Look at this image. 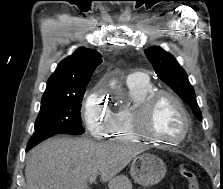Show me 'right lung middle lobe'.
I'll list each match as a JSON object with an SVG mask.
<instances>
[{
    "instance_id": "obj_1",
    "label": "right lung middle lobe",
    "mask_w": 223,
    "mask_h": 189,
    "mask_svg": "<svg viewBox=\"0 0 223 189\" xmlns=\"http://www.w3.org/2000/svg\"><path fill=\"white\" fill-rule=\"evenodd\" d=\"M85 91L82 88L75 93L44 94L33 135L83 134L80 109Z\"/></svg>"
}]
</instances>
